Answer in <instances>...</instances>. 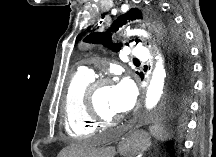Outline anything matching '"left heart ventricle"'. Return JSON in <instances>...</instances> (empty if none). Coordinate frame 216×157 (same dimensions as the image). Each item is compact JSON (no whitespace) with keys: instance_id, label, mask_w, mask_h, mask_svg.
Instances as JSON below:
<instances>
[{"instance_id":"1","label":"left heart ventricle","mask_w":216,"mask_h":157,"mask_svg":"<svg viewBox=\"0 0 216 157\" xmlns=\"http://www.w3.org/2000/svg\"><path fill=\"white\" fill-rule=\"evenodd\" d=\"M96 105L101 115L107 118L121 117L122 113L115 110L112 104V87L107 86L98 91Z\"/></svg>"}]
</instances>
